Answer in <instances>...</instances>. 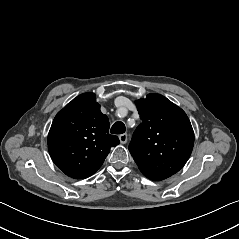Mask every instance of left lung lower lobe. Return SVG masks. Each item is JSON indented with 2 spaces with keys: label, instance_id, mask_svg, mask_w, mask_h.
<instances>
[{
  "label": "left lung lower lobe",
  "instance_id": "0a47b994",
  "mask_svg": "<svg viewBox=\"0 0 239 239\" xmlns=\"http://www.w3.org/2000/svg\"><path fill=\"white\" fill-rule=\"evenodd\" d=\"M142 173L147 178H149L151 180H155V181H160V180L170 177V175H166V174H159V173H152V172H142Z\"/></svg>",
  "mask_w": 239,
  "mask_h": 239
}]
</instances>
